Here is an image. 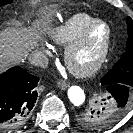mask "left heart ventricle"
I'll return each mask as SVG.
<instances>
[{
    "label": "left heart ventricle",
    "instance_id": "obj_1",
    "mask_svg": "<svg viewBox=\"0 0 133 133\" xmlns=\"http://www.w3.org/2000/svg\"><path fill=\"white\" fill-rule=\"evenodd\" d=\"M105 35L106 29L103 25L98 24L94 26L90 30L84 44L75 53L73 58L74 64L82 68L90 65L95 60L103 46Z\"/></svg>",
    "mask_w": 133,
    "mask_h": 133
}]
</instances>
